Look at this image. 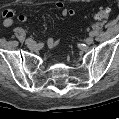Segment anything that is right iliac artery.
Here are the masks:
<instances>
[{"label": "right iliac artery", "instance_id": "right-iliac-artery-1", "mask_svg": "<svg viewBox=\"0 0 119 119\" xmlns=\"http://www.w3.org/2000/svg\"><path fill=\"white\" fill-rule=\"evenodd\" d=\"M31 40H32V37L26 39V43L29 42V41H31Z\"/></svg>", "mask_w": 119, "mask_h": 119}]
</instances>
